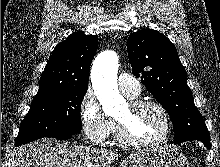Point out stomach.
<instances>
[{
    "instance_id": "0dacf381",
    "label": "stomach",
    "mask_w": 220,
    "mask_h": 167,
    "mask_svg": "<svg viewBox=\"0 0 220 167\" xmlns=\"http://www.w3.org/2000/svg\"><path fill=\"white\" fill-rule=\"evenodd\" d=\"M120 167H190V164L182 153L160 147L132 152Z\"/></svg>"
}]
</instances>
